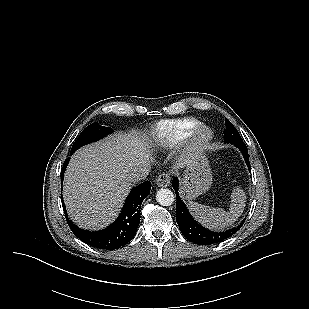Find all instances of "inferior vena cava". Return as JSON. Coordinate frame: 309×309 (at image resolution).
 <instances>
[{"label":"inferior vena cava","mask_w":309,"mask_h":309,"mask_svg":"<svg viewBox=\"0 0 309 309\" xmlns=\"http://www.w3.org/2000/svg\"><path fill=\"white\" fill-rule=\"evenodd\" d=\"M148 173H149V169L147 167L136 168L130 173L129 178L133 182L140 181V180L145 179Z\"/></svg>","instance_id":"obj_1"}]
</instances>
